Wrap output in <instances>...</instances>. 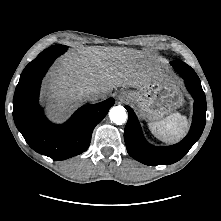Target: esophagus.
I'll return each instance as SVG.
<instances>
[{
	"instance_id": "obj_1",
	"label": "esophagus",
	"mask_w": 221,
	"mask_h": 221,
	"mask_svg": "<svg viewBox=\"0 0 221 221\" xmlns=\"http://www.w3.org/2000/svg\"><path fill=\"white\" fill-rule=\"evenodd\" d=\"M127 94H123L122 96H119L120 99H122L124 96H126Z\"/></svg>"
}]
</instances>
